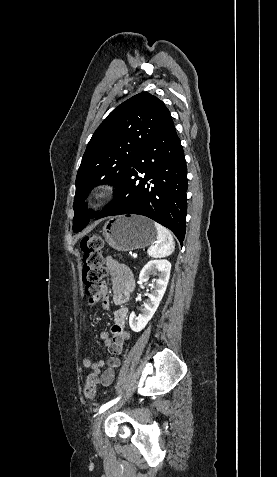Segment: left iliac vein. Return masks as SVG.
<instances>
[{
	"label": "left iliac vein",
	"mask_w": 277,
	"mask_h": 477,
	"mask_svg": "<svg viewBox=\"0 0 277 477\" xmlns=\"http://www.w3.org/2000/svg\"><path fill=\"white\" fill-rule=\"evenodd\" d=\"M107 412L100 414L94 421L93 425V438L96 444L102 442V435H101V423L104 417L106 416Z\"/></svg>",
	"instance_id": "4c4485c4"
}]
</instances>
